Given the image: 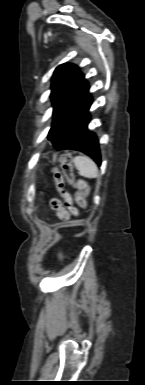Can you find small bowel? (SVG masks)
<instances>
[{
	"label": "small bowel",
	"mask_w": 145,
	"mask_h": 385,
	"mask_svg": "<svg viewBox=\"0 0 145 385\" xmlns=\"http://www.w3.org/2000/svg\"><path fill=\"white\" fill-rule=\"evenodd\" d=\"M50 206L56 212L57 217L61 221V227H66L69 224L71 212L63 205L58 198L50 199Z\"/></svg>",
	"instance_id": "1"
}]
</instances>
